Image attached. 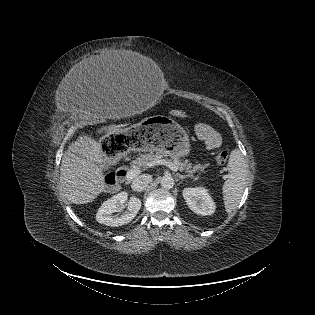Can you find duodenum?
I'll list each match as a JSON object with an SVG mask.
<instances>
[{"mask_svg":"<svg viewBox=\"0 0 315 315\" xmlns=\"http://www.w3.org/2000/svg\"><path fill=\"white\" fill-rule=\"evenodd\" d=\"M126 176H127V171L124 169L118 170L115 174L117 181L123 180Z\"/></svg>","mask_w":315,"mask_h":315,"instance_id":"410a0bca","label":"duodenum"}]
</instances>
